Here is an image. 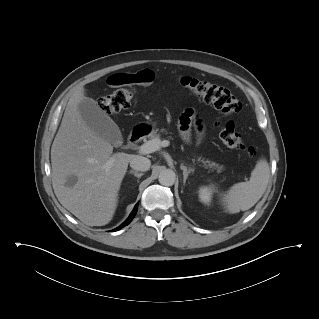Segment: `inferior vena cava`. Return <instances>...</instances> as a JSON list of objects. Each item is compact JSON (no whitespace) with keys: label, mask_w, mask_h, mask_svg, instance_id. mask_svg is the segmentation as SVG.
Listing matches in <instances>:
<instances>
[{"label":"inferior vena cava","mask_w":319,"mask_h":319,"mask_svg":"<svg viewBox=\"0 0 319 319\" xmlns=\"http://www.w3.org/2000/svg\"><path fill=\"white\" fill-rule=\"evenodd\" d=\"M151 165V161L143 156L134 155L133 158L130 160V166L132 169L136 171H147L149 170Z\"/></svg>","instance_id":"602c4592"}]
</instances>
